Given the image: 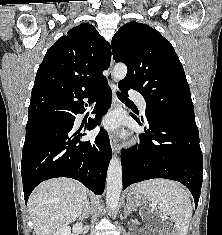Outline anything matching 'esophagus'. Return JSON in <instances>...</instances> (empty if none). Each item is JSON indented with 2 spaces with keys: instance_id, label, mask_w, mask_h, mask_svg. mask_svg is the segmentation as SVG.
<instances>
[{
  "instance_id": "1",
  "label": "esophagus",
  "mask_w": 222,
  "mask_h": 235,
  "mask_svg": "<svg viewBox=\"0 0 222 235\" xmlns=\"http://www.w3.org/2000/svg\"><path fill=\"white\" fill-rule=\"evenodd\" d=\"M112 68H113V59L111 58V63H110V67H109L111 78L109 80V85H110L112 93H113L112 107L116 108L118 106V99L116 96L117 82L115 79L112 78ZM110 144H111V148H112L113 152H118L119 145H118L117 135L115 134L114 131L110 132Z\"/></svg>"
}]
</instances>
